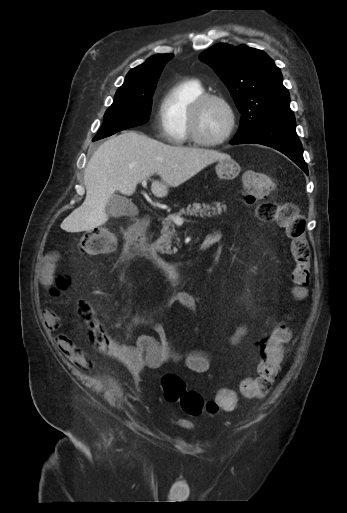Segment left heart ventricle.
I'll list each match as a JSON object with an SVG mask.
<instances>
[{
    "label": "left heart ventricle",
    "mask_w": 347,
    "mask_h": 513,
    "mask_svg": "<svg viewBox=\"0 0 347 513\" xmlns=\"http://www.w3.org/2000/svg\"><path fill=\"white\" fill-rule=\"evenodd\" d=\"M229 124L226 108L216 101L208 102L201 111L199 133L208 140H215L224 135Z\"/></svg>",
    "instance_id": "obj_1"
}]
</instances>
